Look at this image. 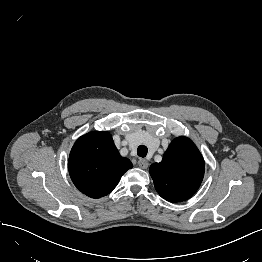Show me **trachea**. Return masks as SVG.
I'll return each instance as SVG.
<instances>
[{"label": "trachea", "mask_w": 262, "mask_h": 262, "mask_svg": "<svg viewBox=\"0 0 262 262\" xmlns=\"http://www.w3.org/2000/svg\"><path fill=\"white\" fill-rule=\"evenodd\" d=\"M148 149L145 145H140L137 149V154L140 157H145L147 155Z\"/></svg>", "instance_id": "obj_1"}]
</instances>
